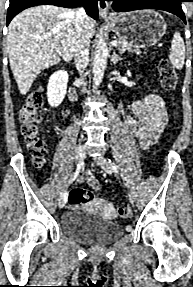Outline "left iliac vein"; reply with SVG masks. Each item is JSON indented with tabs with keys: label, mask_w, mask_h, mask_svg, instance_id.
Wrapping results in <instances>:
<instances>
[{
	"label": "left iliac vein",
	"mask_w": 193,
	"mask_h": 287,
	"mask_svg": "<svg viewBox=\"0 0 193 287\" xmlns=\"http://www.w3.org/2000/svg\"><path fill=\"white\" fill-rule=\"evenodd\" d=\"M94 161L107 173L112 174L114 172V169L112 168V164L102 155H98L94 157ZM129 201L131 204H133V199L129 195Z\"/></svg>",
	"instance_id": "1"
}]
</instances>
